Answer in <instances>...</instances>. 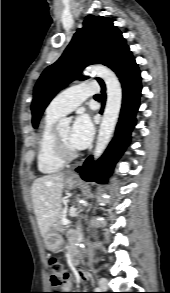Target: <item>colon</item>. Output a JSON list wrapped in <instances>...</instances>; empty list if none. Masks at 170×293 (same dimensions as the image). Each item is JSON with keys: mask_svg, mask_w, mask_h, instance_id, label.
Returning <instances> with one entry per match:
<instances>
[{"mask_svg": "<svg viewBox=\"0 0 170 293\" xmlns=\"http://www.w3.org/2000/svg\"><path fill=\"white\" fill-rule=\"evenodd\" d=\"M50 281L54 292L62 293L68 285V270L64 263L60 262L57 258L51 257L49 259Z\"/></svg>", "mask_w": 170, "mask_h": 293, "instance_id": "1", "label": "colon"}]
</instances>
